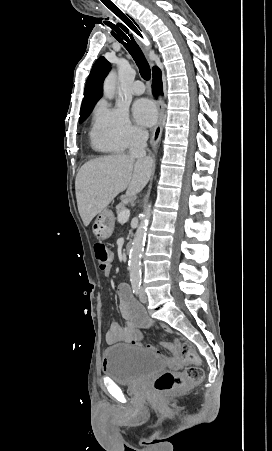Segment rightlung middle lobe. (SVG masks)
Listing matches in <instances>:
<instances>
[{
  "label": "right lung middle lobe",
  "mask_w": 272,
  "mask_h": 451,
  "mask_svg": "<svg viewBox=\"0 0 272 451\" xmlns=\"http://www.w3.org/2000/svg\"><path fill=\"white\" fill-rule=\"evenodd\" d=\"M93 108H81L79 123H82L89 116Z\"/></svg>",
  "instance_id": "1"
}]
</instances>
